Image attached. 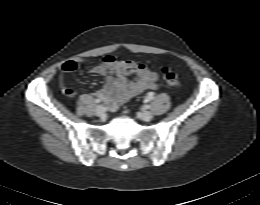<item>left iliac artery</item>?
<instances>
[{"mask_svg":"<svg viewBox=\"0 0 260 205\" xmlns=\"http://www.w3.org/2000/svg\"><path fill=\"white\" fill-rule=\"evenodd\" d=\"M149 99H152V95H149L148 98H147L145 101L148 102ZM145 108H146V109H149L150 106H149V105H145Z\"/></svg>","mask_w":260,"mask_h":205,"instance_id":"left-iliac-artery-1","label":"left iliac artery"}]
</instances>
